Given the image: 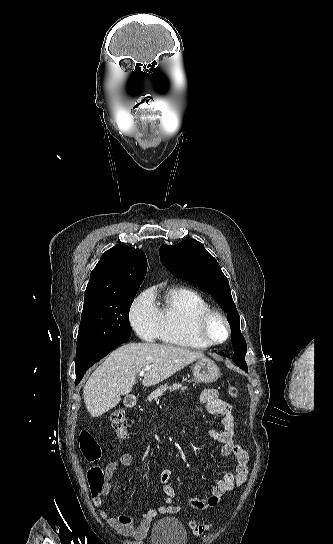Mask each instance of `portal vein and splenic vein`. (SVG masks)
Returning <instances> with one entry per match:
<instances>
[{"label": "portal vein and splenic vein", "mask_w": 333, "mask_h": 544, "mask_svg": "<svg viewBox=\"0 0 333 544\" xmlns=\"http://www.w3.org/2000/svg\"><path fill=\"white\" fill-rule=\"evenodd\" d=\"M146 370H147V368L142 369V370L140 371L139 375H140L141 377L144 376Z\"/></svg>", "instance_id": "1"}]
</instances>
